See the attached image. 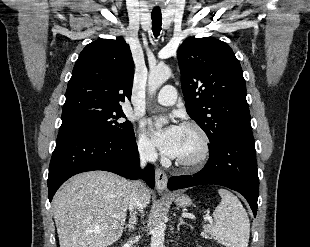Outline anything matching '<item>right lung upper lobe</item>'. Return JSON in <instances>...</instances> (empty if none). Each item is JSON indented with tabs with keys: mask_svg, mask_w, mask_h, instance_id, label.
<instances>
[{
	"mask_svg": "<svg viewBox=\"0 0 310 247\" xmlns=\"http://www.w3.org/2000/svg\"><path fill=\"white\" fill-rule=\"evenodd\" d=\"M134 64L122 37L88 44L75 63L63 110L77 106L121 108L131 99Z\"/></svg>",
	"mask_w": 310,
	"mask_h": 247,
	"instance_id": "obj_1",
	"label": "right lung upper lobe"
}]
</instances>
